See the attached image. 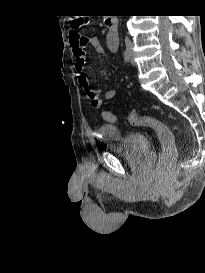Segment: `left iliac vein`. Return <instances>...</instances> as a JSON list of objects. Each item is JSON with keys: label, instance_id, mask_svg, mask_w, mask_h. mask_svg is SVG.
<instances>
[{"label": "left iliac vein", "instance_id": "left-iliac-vein-1", "mask_svg": "<svg viewBox=\"0 0 205 273\" xmlns=\"http://www.w3.org/2000/svg\"><path fill=\"white\" fill-rule=\"evenodd\" d=\"M129 54H130V60H131V63L134 65V64H135V62H134V58H133V52H132V50H131V49L129 50Z\"/></svg>", "mask_w": 205, "mask_h": 273}]
</instances>
